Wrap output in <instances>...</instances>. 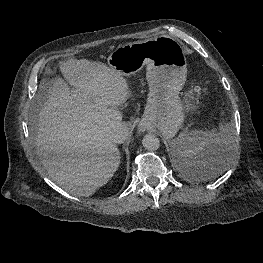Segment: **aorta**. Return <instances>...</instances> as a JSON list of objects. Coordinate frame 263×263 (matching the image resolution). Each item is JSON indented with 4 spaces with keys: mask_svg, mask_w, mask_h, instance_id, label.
Returning a JSON list of instances; mask_svg holds the SVG:
<instances>
[{
    "mask_svg": "<svg viewBox=\"0 0 263 263\" xmlns=\"http://www.w3.org/2000/svg\"><path fill=\"white\" fill-rule=\"evenodd\" d=\"M142 144L148 151H155L160 147V141L154 134H146L143 137Z\"/></svg>",
    "mask_w": 263,
    "mask_h": 263,
    "instance_id": "762f6f07",
    "label": "aorta"
}]
</instances>
